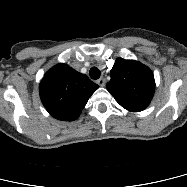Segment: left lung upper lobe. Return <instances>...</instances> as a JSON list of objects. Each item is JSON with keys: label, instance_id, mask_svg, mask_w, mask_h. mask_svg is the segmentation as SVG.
Wrapping results in <instances>:
<instances>
[{"label": "left lung upper lobe", "instance_id": "obj_1", "mask_svg": "<svg viewBox=\"0 0 187 187\" xmlns=\"http://www.w3.org/2000/svg\"><path fill=\"white\" fill-rule=\"evenodd\" d=\"M107 89L130 112L144 110L152 100L155 81L152 71L135 60L118 58L111 69Z\"/></svg>", "mask_w": 187, "mask_h": 187}]
</instances>
